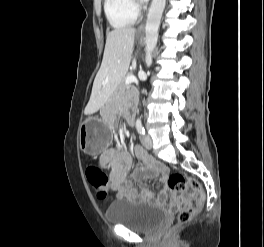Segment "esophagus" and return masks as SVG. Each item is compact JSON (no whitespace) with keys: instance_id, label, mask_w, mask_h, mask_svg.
Segmentation results:
<instances>
[{"instance_id":"esophagus-1","label":"esophagus","mask_w":264,"mask_h":247,"mask_svg":"<svg viewBox=\"0 0 264 247\" xmlns=\"http://www.w3.org/2000/svg\"><path fill=\"white\" fill-rule=\"evenodd\" d=\"M144 30V23H142L138 28V33H142Z\"/></svg>"}]
</instances>
